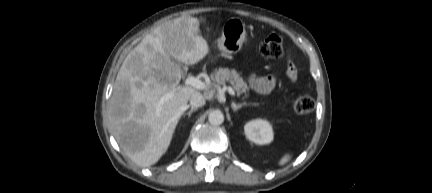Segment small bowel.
<instances>
[{"mask_svg": "<svg viewBox=\"0 0 432 193\" xmlns=\"http://www.w3.org/2000/svg\"><path fill=\"white\" fill-rule=\"evenodd\" d=\"M286 75L290 81H294L297 77V71L292 64L287 67ZM277 83V79L274 76L259 77L252 75L249 77V85L251 89L259 94L271 93Z\"/></svg>", "mask_w": 432, "mask_h": 193, "instance_id": "c3829d8e", "label": "small bowel"}]
</instances>
